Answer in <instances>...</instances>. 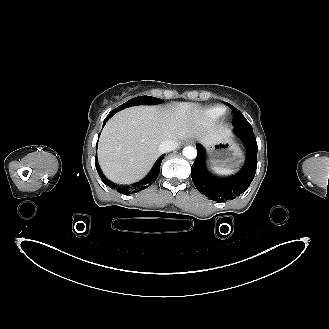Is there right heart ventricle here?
Segmentation results:
<instances>
[{"instance_id": "right-heart-ventricle-1", "label": "right heart ventricle", "mask_w": 329, "mask_h": 329, "mask_svg": "<svg viewBox=\"0 0 329 329\" xmlns=\"http://www.w3.org/2000/svg\"><path fill=\"white\" fill-rule=\"evenodd\" d=\"M208 113L211 115V117H219L223 113V109L220 107L212 108L208 111Z\"/></svg>"}]
</instances>
